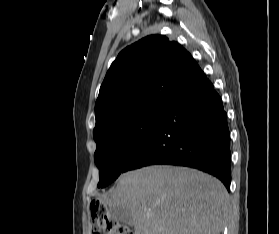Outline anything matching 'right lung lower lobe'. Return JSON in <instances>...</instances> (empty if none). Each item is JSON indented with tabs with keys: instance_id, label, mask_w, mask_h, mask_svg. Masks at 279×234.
Returning <instances> with one entry per match:
<instances>
[{
	"instance_id": "obj_1",
	"label": "right lung lower lobe",
	"mask_w": 279,
	"mask_h": 234,
	"mask_svg": "<svg viewBox=\"0 0 279 234\" xmlns=\"http://www.w3.org/2000/svg\"><path fill=\"white\" fill-rule=\"evenodd\" d=\"M227 114L202 71L170 104L124 171L154 164L194 167L219 178L230 190Z\"/></svg>"
}]
</instances>
